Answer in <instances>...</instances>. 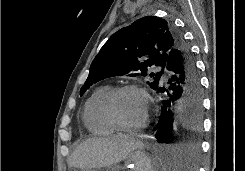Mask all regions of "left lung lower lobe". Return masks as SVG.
I'll return each instance as SVG.
<instances>
[{
    "mask_svg": "<svg viewBox=\"0 0 245 171\" xmlns=\"http://www.w3.org/2000/svg\"><path fill=\"white\" fill-rule=\"evenodd\" d=\"M165 69L168 70L167 84L157 91L165 93L161 115L155 127L159 143L174 145V161L180 167H195L199 141L193 136L180 138V125L187 128L200 127L202 113V92L199 74L189 46L182 44L169 55Z\"/></svg>",
    "mask_w": 245,
    "mask_h": 171,
    "instance_id": "left-lung-lower-lobe-1",
    "label": "left lung lower lobe"
}]
</instances>
